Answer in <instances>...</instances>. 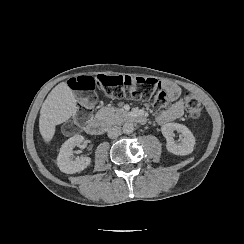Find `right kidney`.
Returning a JSON list of instances; mask_svg holds the SVG:
<instances>
[{
  "label": "right kidney",
  "instance_id": "ca27d5eb",
  "mask_svg": "<svg viewBox=\"0 0 244 244\" xmlns=\"http://www.w3.org/2000/svg\"><path fill=\"white\" fill-rule=\"evenodd\" d=\"M84 141V137L76 135L69 138L61 147L57 164L60 170L65 174H75L82 172L91 164L90 157H74V147L80 146Z\"/></svg>",
  "mask_w": 244,
  "mask_h": 244
}]
</instances>
